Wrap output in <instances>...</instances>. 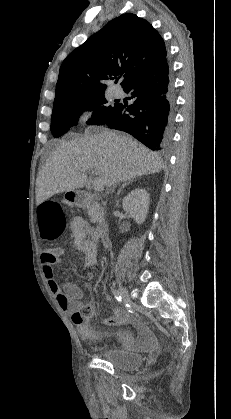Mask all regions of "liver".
Wrapping results in <instances>:
<instances>
[{"instance_id":"1","label":"liver","mask_w":231,"mask_h":419,"mask_svg":"<svg viewBox=\"0 0 231 419\" xmlns=\"http://www.w3.org/2000/svg\"><path fill=\"white\" fill-rule=\"evenodd\" d=\"M163 161L132 137L109 130L61 143L50 155L36 180V204L55 194L74 191L87 183L93 170L110 188L142 175L159 172Z\"/></svg>"}]
</instances>
